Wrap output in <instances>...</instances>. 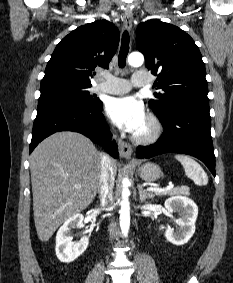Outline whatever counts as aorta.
<instances>
[{
    "label": "aorta",
    "instance_id": "762f6f07",
    "mask_svg": "<svg viewBox=\"0 0 233 283\" xmlns=\"http://www.w3.org/2000/svg\"><path fill=\"white\" fill-rule=\"evenodd\" d=\"M144 62V56L141 53L133 52L128 56V63L133 67H139ZM122 200L120 208V228L122 234L126 237L130 227V202H129V180L124 178L122 182Z\"/></svg>",
    "mask_w": 233,
    "mask_h": 283
}]
</instances>
